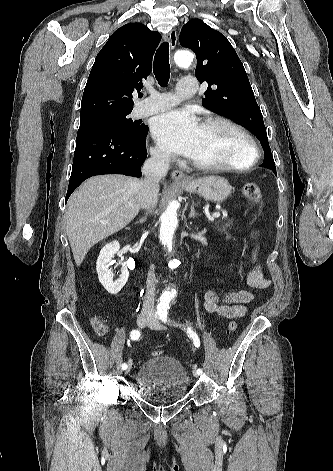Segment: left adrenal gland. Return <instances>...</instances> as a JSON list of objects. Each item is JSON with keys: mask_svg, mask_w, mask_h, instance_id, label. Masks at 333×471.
Returning <instances> with one entry per match:
<instances>
[{"mask_svg": "<svg viewBox=\"0 0 333 471\" xmlns=\"http://www.w3.org/2000/svg\"><path fill=\"white\" fill-rule=\"evenodd\" d=\"M197 216H199V213L195 211V203L193 202L190 208L189 218H196Z\"/></svg>", "mask_w": 333, "mask_h": 471, "instance_id": "1", "label": "left adrenal gland"}]
</instances>
